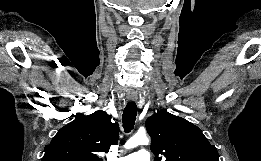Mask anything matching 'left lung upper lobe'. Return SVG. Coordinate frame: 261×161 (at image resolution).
<instances>
[{
  "label": "left lung upper lobe",
  "instance_id": "left-lung-upper-lobe-1",
  "mask_svg": "<svg viewBox=\"0 0 261 161\" xmlns=\"http://www.w3.org/2000/svg\"><path fill=\"white\" fill-rule=\"evenodd\" d=\"M154 161H219L218 152L202 131L189 121L160 111L146 121Z\"/></svg>",
  "mask_w": 261,
  "mask_h": 161
}]
</instances>
